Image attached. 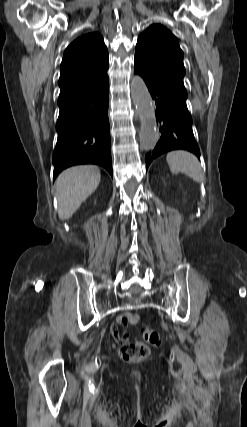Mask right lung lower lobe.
Listing matches in <instances>:
<instances>
[{"label":"right lung lower lobe","mask_w":247,"mask_h":427,"mask_svg":"<svg viewBox=\"0 0 247 427\" xmlns=\"http://www.w3.org/2000/svg\"><path fill=\"white\" fill-rule=\"evenodd\" d=\"M108 98V75L59 95L58 139L52 156L54 180L63 169L78 164L103 166L113 176Z\"/></svg>","instance_id":"1"}]
</instances>
